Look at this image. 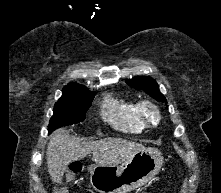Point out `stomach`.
<instances>
[{"mask_svg":"<svg viewBox=\"0 0 221 193\" xmlns=\"http://www.w3.org/2000/svg\"><path fill=\"white\" fill-rule=\"evenodd\" d=\"M162 164L163 156L158 149L145 148L120 165L90 166V183L99 193H128L149 182Z\"/></svg>","mask_w":221,"mask_h":193,"instance_id":"stomach-1","label":"stomach"}]
</instances>
